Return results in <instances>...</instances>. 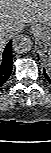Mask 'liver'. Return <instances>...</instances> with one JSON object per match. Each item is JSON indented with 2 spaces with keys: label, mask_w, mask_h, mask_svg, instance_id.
Instances as JSON below:
<instances>
[{
  "label": "liver",
  "mask_w": 51,
  "mask_h": 153,
  "mask_svg": "<svg viewBox=\"0 0 51 153\" xmlns=\"http://www.w3.org/2000/svg\"><path fill=\"white\" fill-rule=\"evenodd\" d=\"M51 24V0H0V48L25 24Z\"/></svg>",
  "instance_id": "obj_1"
}]
</instances>
